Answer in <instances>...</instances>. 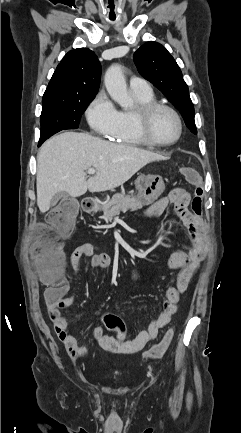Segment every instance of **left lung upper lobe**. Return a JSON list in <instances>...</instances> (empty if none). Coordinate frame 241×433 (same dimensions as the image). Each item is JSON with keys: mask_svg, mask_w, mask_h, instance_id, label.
Masks as SVG:
<instances>
[{"mask_svg": "<svg viewBox=\"0 0 241 433\" xmlns=\"http://www.w3.org/2000/svg\"><path fill=\"white\" fill-rule=\"evenodd\" d=\"M133 57L139 73L177 107L187 127L197 134L188 86L172 55L163 45L151 41L142 45Z\"/></svg>", "mask_w": 241, "mask_h": 433, "instance_id": "5c2ea615", "label": "left lung upper lobe"}]
</instances>
